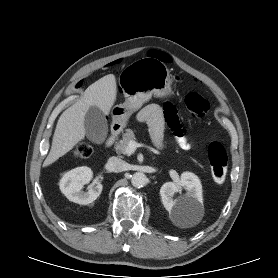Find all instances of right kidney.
<instances>
[{
    "label": "right kidney",
    "instance_id": "1",
    "mask_svg": "<svg viewBox=\"0 0 278 278\" xmlns=\"http://www.w3.org/2000/svg\"><path fill=\"white\" fill-rule=\"evenodd\" d=\"M93 177V172L89 167L83 166L75 168L63 175L59 186L61 192L69 201L87 205L95 201L102 192V184L91 186L88 191H81L83 185L87 184Z\"/></svg>",
    "mask_w": 278,
    "mask_h": 278
}]
</instances>
